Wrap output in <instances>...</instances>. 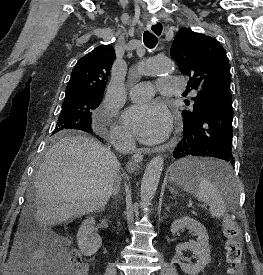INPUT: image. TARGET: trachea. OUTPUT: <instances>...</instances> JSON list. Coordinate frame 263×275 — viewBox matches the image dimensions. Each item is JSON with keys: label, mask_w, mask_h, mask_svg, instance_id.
<instances>
[{"label": "trachea", "mask_w": 263, "mask_h": 275, "mask_svg": "<svg viewBox=\"0 0 263 275\" xmlns=\"http://www.w3.org/2000/svg\"><path fill=\"white\" fill-rule=\"evenodd\" d=\"M143 42L149 49H152L157 44V37L149 31H145L143 34Z\"/></svg>", "instance_id": "3493384b"}]
</instances>
